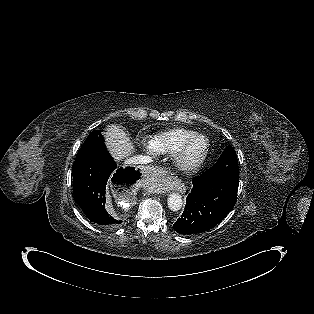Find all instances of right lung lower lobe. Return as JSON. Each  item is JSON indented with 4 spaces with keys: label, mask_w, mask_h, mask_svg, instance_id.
Segmentation results:
<instances>
[{
    "label": "right lung lower lobe",
    "mask_w": 314,
    "mask_h": 314,
    "mask_svg": "<svg viewBox=\"0 0 314 314\" xmlns=\"http://www.w3.org/2000/svg\"><path fill=\"white\" fill-rule=\"evenodd\" d=\"M74 197L83 213L102 228H115L123 221L105 209L107 182L131 187L140 178L134 167L116 168L105 145L86 157L76 160L72 168Z\"/></svg>",
    "instance_id": "98d812e1"
}]
</instances>
